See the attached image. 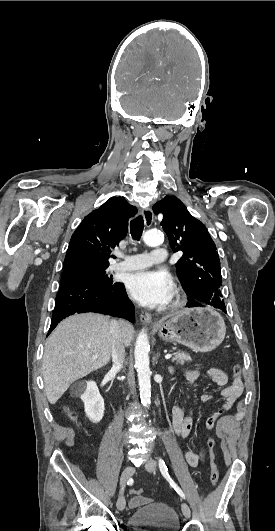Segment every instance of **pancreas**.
<instances>
[{
	"label": "pancreas",
	"mask_w": 275,
	"mask_h": 531,
	"mask_svg": "<svg viewBox=\"0 0 275 531\" xmlns=\"http://www.w3.org/2000/svg\"><path fill=\"white\" fill-rule=\"evenodd\" d=\"M172 349L176 351L177 347H172ZM173 355L172 363H176V365H185V363L192 361L190 355H188V353H183V351H177V353H173Z\"/></svg>",
	"instance_id": "cf45deb5"
}]
</instances>
